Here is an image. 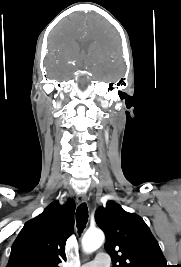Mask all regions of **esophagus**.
I'll use <instances>...</instances> for the list:
<instances>
[{
  "label": "esophagus",
  "mask_w": 181,
  "mask_h": 267,
  "mask_svg": "<svg viewBox=\"0 0 181 267\" xmlns=\"http://www.w3.org/2000/svg\"><path fill=\"white\" fill-rule=\"evenodd\" d=\"M79 203H86L88 201V196L86 194H80L77 196Z\"/></svg>",
  "instance_id": "obj_1"
}]
</instances>
